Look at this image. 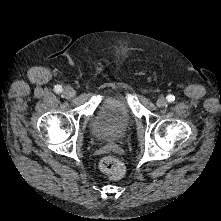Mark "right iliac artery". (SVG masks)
Instances as JSON below:
<instances>
[{"label":"right iliac artery","mask_w":221,"mask_h":221,"mask_svg":"<svg viewBox=\"0 0 221 221\" xmlns=\"http://www.w3.org/2000/svg\"><path fill=\"white\" fill-rule=\"evenodd\" d=\"M54 90H55L56 93H61L62 92V87L60 85H56L54 87Z\"/></svg>","instance_id":"right-iliac-artery-1"}]
</instances>
